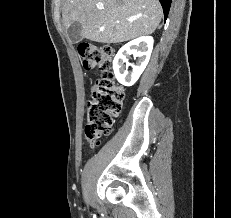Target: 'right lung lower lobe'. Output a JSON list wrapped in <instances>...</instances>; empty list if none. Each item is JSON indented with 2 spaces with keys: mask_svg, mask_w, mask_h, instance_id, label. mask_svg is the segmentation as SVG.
Returning <instances> with one entry per match:
<instances>
[{
  "mask_svg": "<svg viewBox=\"0 0 231 218\" xmlns=\"http://www.w3.org/2000/svg\"><path fill=\"white\" fill-rule=\"evenodd\" d=\"M159 1H160L161 5H162L164 16H165V19H166L167 16H168V13H169V9H170L172 0H159Z\"/></svg>",
  "mask_w": 231,
  "mask_h": 218,
  "instance_id": "98d812e1",
  "label": "right lung lower lobe"
}]
</instances>
